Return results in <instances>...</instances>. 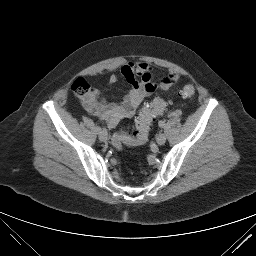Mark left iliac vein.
<instances>
[{"label":"left iliac vein","instance_id":"obj_1","mask_svg":"<svg viewBox=\"0 0 256 256\" xmlns=\"http://www.w3.org/2000/svg\"><path fill=\"white\" fill-rule=\"evenodd\" d=\"M156 142L158 145H163L166 142V136L163 133L159 134L156 138Z\"/></svg>","mask_w":256,"mask_h":256}]
</instances>
